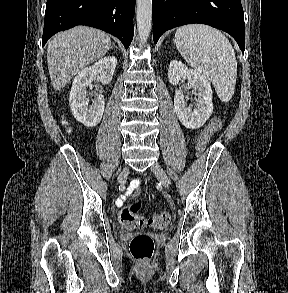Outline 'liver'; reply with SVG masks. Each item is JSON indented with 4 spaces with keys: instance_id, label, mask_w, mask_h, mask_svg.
<instances>
[{
    "instance_id": "obj_1",
    "label": "liver",
    "mask_w": 288,
    "mask_h": 293,
    "mask_svg": "<svg viewBox=\"0 0 288 293\" xmlns=\"http://www.w3.org/2000/svg\"><path fill=\"white\" fill-rule=\"evenodd\" d=\"M110 37L97 29L77 26L57 33L48 42L47 63L52 86L60 91L89 64L110 49Z\"/></svg>"
}]
</instances>
